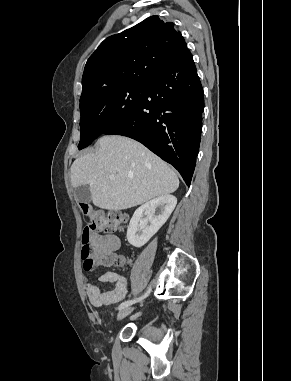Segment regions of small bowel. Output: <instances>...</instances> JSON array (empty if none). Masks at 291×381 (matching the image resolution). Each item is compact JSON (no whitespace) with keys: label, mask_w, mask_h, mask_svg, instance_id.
Returning <instances> with one entry per match:
<instances>
[{"label":"small bowel","mask_w":291,"mask_h":381,"mask_svg":"<svg viewBox=\"0 0 291 381\" xmlns=\"http://www.w3.org/2000/svg\"><path fill=\"white\" fill-rule=\"evenodd\" d=\"M92 244L97 247V257H99L103 252H113L117 250L120 245V239L116 235H101L96 233L92 237ZM99 281L105 285H113V288L107 291H101L97 285L86 280L84 289L92 305L104 306L115 304L125 298L128 285L126 276L115 271H107L99 276Z\"/></svg>","instance_id":"1"}]
</instances>
